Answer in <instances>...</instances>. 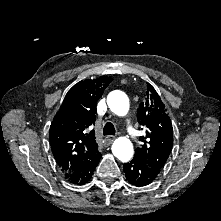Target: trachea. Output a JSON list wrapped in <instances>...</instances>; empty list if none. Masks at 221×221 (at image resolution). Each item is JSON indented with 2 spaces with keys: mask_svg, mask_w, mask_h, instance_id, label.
Here are the masks:
<instances>
[{
  "mask_svg": "<svg viewBox=\"0 0 221 221\" xmlns=\"http://www.w3.org/2000/svg\"><path fill=\"white\" fill-rule=\"evenodd\" d=\"M115 133H116V131H115L114 125L110 122L106 123L103 128V134L104 135H115Z\"/></svg>",
  "mask_w": 221,
  "mask_h": 221,
  "instance_id": "trachea-1",
  "label": "trachea"
}]
</instances>
